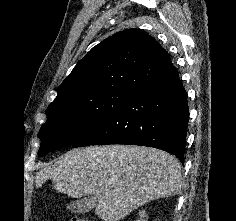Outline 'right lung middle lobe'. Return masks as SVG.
Masks as SVG:
<instances>
[{
	"instance_id": "right-lung-middle-lobe-1",
	"label": "right lung middle lobe",
	"mask_w": 236,
	"mask_h": 221,
	"mask_svg": "<svg viewBox=\"0 0 236 221\" xmlns=\"http://www.w3.org/2000/svg\"><path fill=\"white\" fill-rule=\"evenodd\" d=\"M136 92L115 88L49 106L47 121L38 133L41 140L38 155L44 156L55 149L75 144Z\"/></svg>"
}]
</instances>
